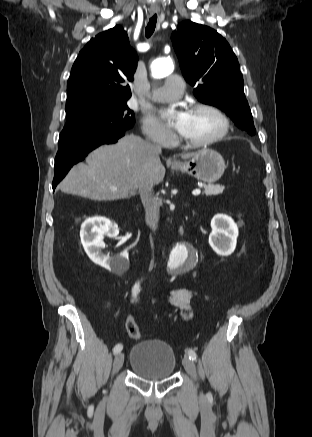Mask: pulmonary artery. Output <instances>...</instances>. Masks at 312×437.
Returning a JSON list of instances; mask_svg holds the SVG:
<instances>
[{"mask_svg": "<svg viewBox=\"0 0 312 437\" xmlns=\"http://www.w3.org/2000/svg\"><path fill=\"white\" fill-rule=\"evenodd\" d=\"M184 91V81L178 75L168 77L163 86L153 90L151 99L164 102L178 99Z\"/></svg>", "mask_w": 312, "mask_h": 437, "instance_id": "obj_1", "label": "pulmonary artery"}]
</instances>
